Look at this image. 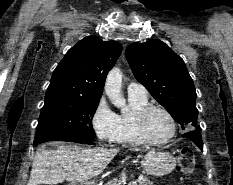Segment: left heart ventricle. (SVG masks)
Returning <instances> with one entry per match:
<instances>
[{
	"label": "left heart ventricle",
	"instance_id": "1",
	"mask_svg": "<svg viewBox=\"0 0 233 185\" xmlns=\"http://www.w3.org/2000/svg\"><path fill=\"white\" fill-rule=\"evenodd\" d=\"M149 136L154 140H162L171 133V122L162 111L153 110L146 119Z\"/></svg>",
	"mask_w": 233,
	"mask_h": 185
}]
</instances>
